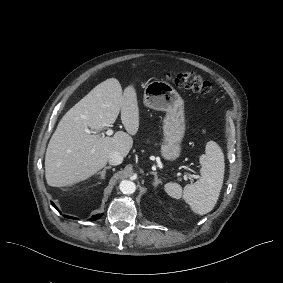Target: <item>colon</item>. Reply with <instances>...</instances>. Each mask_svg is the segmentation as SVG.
<instances>
[{"mask_svg":"<svg viewBox=\"0 0 283 283\" xmlns=\"http://www.w3.org/2000/svg\"><path fill=\"white\" fill-rule=\"evenodd\" d=\"M167 79L178 88L191 92L207 94L211 91L210 83L200 75L191 71L170 73L167 75Z\"/></svg>","mask_w":283,"mask_h":283,"instance_id":"1","label":"colon"}]
</instances>
